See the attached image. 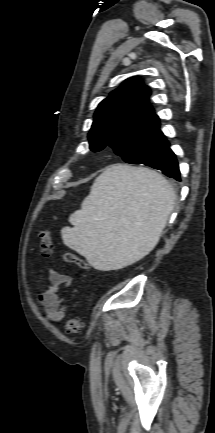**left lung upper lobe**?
<instances>
[{"label":"left lung upper lobe","instance_id":"obj_1","mask_svg":"<svg viewBox=\"0 0 215 433\" xmlns=\"http://www.w3.org/2000/svg\"><path fill=\"white\" fill-rule=\"evenodd\" d=\"M149 95L139 79H128L100 102L88 135L90 149L97 152L109 145L127 163L156 168L166 137Z\"/></svg>","mask_w":215,"mask_h":433}]
</instances>
